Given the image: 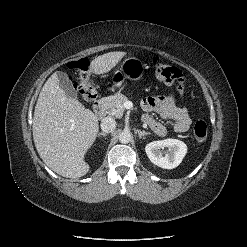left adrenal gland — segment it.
I'll return each mask as SVG.
<instances>
[{
	"mask_svg": "<svg viewBox=\"0 0 247 247\" xmlns=\"http://www.w3.org/2000/svg\"><path fill=\"white\" fill-rule=\"evenodd\" d=\"M137 133H138V136H139L140 139H141L143 136L150 134V133H148V132L141 131V130H137Z\"/></svg>",
	"mask_w": 247,
	"mask_h": 247,
	"instance_id": "left-adrenal-gland-1",
	"label": "left adrenal gland"
}]
</instances>
